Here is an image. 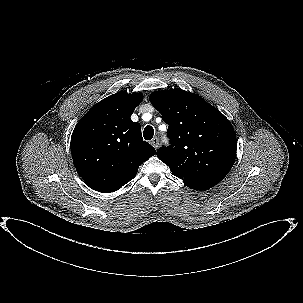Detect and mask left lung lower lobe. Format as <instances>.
Here are the masks:
<instances>
[{
  "label": "left lung lower lobe",
  "instance_id": "obj_1",
  "mask_svg": "<svg viewBox=\"0 0 303 303\" xmlns=\"http://www.w3.org/2000/svg\"><path fill=\"white\" fill-rule=\"evenodd\" d=\"M222 179H205V180H183L184 183L194 190L209 189L218 184Z\"/></svg>",
  "mask_w": 303,
  "mask_h": 303
}]
</instances>
